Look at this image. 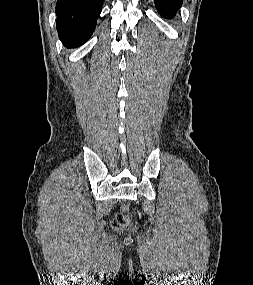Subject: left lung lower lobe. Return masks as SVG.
Listing matches in <instances>:
<instances>
[{"mask_svg": "<svg viewBox=\"0 0 253 285\" xmlns=\"http://www.w3.org/2000/svg\"><path fill=\"white\" fill-rule=\"evenodd\" d=\"M158 12L165 18H173L182 5V0H154Z\"/></svg>", "mask_w": 253, "mask_h": 285, "instance_id": "obj_1", "label": "left lung lower lobe"}]
</instances>
